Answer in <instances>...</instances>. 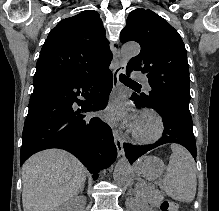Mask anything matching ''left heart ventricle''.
I'll return each mask as SVG.
<instances>
[{
    "label": "left heart ventricle",
    "instance_id": "left-heart-ventricle-1",
    "mask_svg": "<svg viewBox=\"0 0 219 211\" xmlns=\"http://www.w3.org/2000/svg\"><path fill=\"white\" fill-rule=\"evenodd\" d=\"M150 124H151L150 121H146V122H144V123L142 124V126H143L144 128H147V127H149Z\"/></svg>",
    "mask_w": 219,
    "mask_h": 211
}]
</instances>
